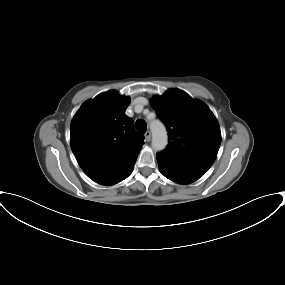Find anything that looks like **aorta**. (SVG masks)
<instances>
[{
	"label": "aorta",
	"instance_id": "obj_1",
	"mask_svg": "<svg viewBox=\"0 0 285 285\" xmlns=\"http://www.w3.org/2000/svg\"><path fill=\"white\" fill-rule=\"evenodd\" d=\"M152 132V147L155 151L165 149L168 143L167 131L162 122L155 120L150 123Z\"/></svg>",
	"mask_w": 285,
	"mask_h": 285
}]
</instances>
